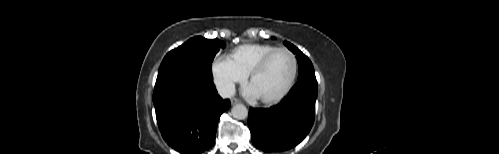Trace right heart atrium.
Masks as SVG:
<instances>
[{"label": "right heart atrium", "mask_w": 499, "mask_h": 154, "mask_svg": "<svg viewBox=\"0 0 499 154\" xmlns=\"http://www.w3.org/2000/svg\"><path fill=\"white\" fill-rule=\"evenodd\" d=\"M210 70L214 86L223 96L232 95L236 84L244 82L247 78V75L224 55L217 56L212 61Z\"/></svg>", "instance_id": "right-heart-atrium-1"}]
</instances>
